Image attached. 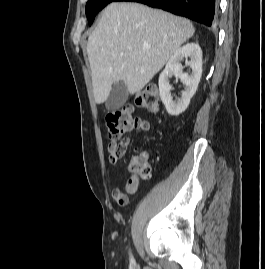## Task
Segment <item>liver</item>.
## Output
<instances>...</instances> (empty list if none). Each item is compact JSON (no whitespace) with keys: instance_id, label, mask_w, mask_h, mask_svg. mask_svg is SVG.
Here are the masks:
<instances>
[{"instance_id":"obj_1","label":"liver","mask_w":265,"mask_h":269,"mask_svg":"<svg viewBox=\"0 0 265 269\" xmlns=\"http://www.w3.org/2000/svg\"><path fill=\"white\" fill-rule=\"evenodd\" d=\"M195 32L192 23L138 3H111L87 42L95 102L117 82L140 92Z\"/></svg>"}]
</instances>
